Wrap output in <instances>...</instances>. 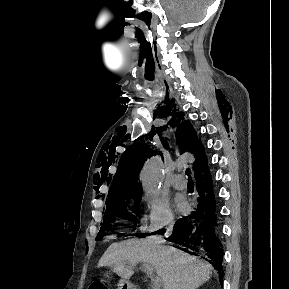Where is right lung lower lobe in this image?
I'll use <instances>...</instances> for the list:
<instances>
[{
  "label": "right lung lower lobe",
  "mask_w": 289,
  "mask_h": 289,
  "mask_svg": "<svg viewBox=\"0 0 289 289\" xmlns=\"http://www.w3.org/2000/svg\"><path fill=\"white\" fill-rule=\"evenodd\" d=\"M197 201L192 212L176 221L169 241L182 245L192 255H204L219 273L222 284L223 249L219 239V221L209 171L195 178ZM159 230L150 234H163Z\"/></svg>",
  "instance_id": "1"
}]
</instances>
